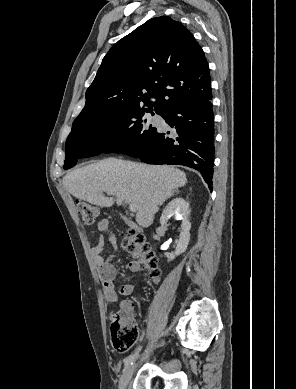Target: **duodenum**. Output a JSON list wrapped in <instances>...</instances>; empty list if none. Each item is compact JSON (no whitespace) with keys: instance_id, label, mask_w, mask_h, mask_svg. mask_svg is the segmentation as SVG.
Listing matches in <instances>:
<instances>
[{"instance_id":"obj_1","label":"duodenum","mask_w":296,"mask_h":389,"mask_svg":"<svg viewBox=\"0 0 296 389\" xmlns=\"http://www.w3.org/2000/svg\"><path fill=\"white\" fill-rule=\"evenodd\" d=\"M125 222H126V224L129 225L131 228H133V229H135V230H137V231H140V228H139L136 224H134L132 221H130V220H128V219L125 218Z\"/></svg>"}]
</instances>
